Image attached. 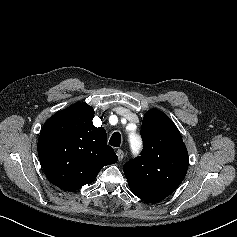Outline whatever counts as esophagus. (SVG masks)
Returning a JSON list of instances; mask_svg holds the SVG:
<instances>
[{
	"mask_svg": "<svg viewBox=\"0 0 237 237\" xmlns=\"http://www.w3.org/2000/svg\"><path fill=\"white\" fill-rule=\"evenodd\" d=\"M116 153H117L119 161H121L123 159V157H124L123 150L122 149H118Z\"/></svg>",
	"mask_w": 237,
	"mask_h": 237,
	"instance_id": "obj_1",
	"label": "esophagus"
}]
</instances>
